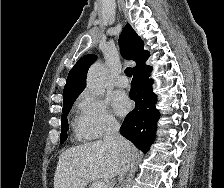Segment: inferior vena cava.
Wrapping results in <instances>:
<instances>
[{"label": "inferior vena cava", "mask_w": 224, "mask_h": 188, "mask_svg": "<svg viewBox=\"0 0 224 188\" xmlns=\"http://www.w3.org/2000/svg\"><path fill=\"white\" fill-rule=\"evenodd\" d=\"M119 129L120 124L115 119L109 120L103 141L106 145L118 149L121 153V167L118 180L122 182L130 166L131 148L129 143L120 135Z\"/></svg>", "instance_id": "1"}]
</instances>
